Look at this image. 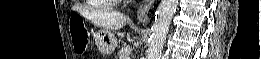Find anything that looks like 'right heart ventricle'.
I'll return each mask as SVG.
<instances>
[{
    "mask_svg": "<svg viewBox=\"0 0 261 59\" xmlns=\"http://www.w3.org/2000/svg\"><path fill=\"white\" fill-rule=\"evenodd\" d=\"M101 6H112V0H96Z\"/></svg>",
    "mask_w": 261,
    "mask_h": 59,
    "instance_id": "obj_1",
    "label": "right heart ventricle"
}]
</instances>
